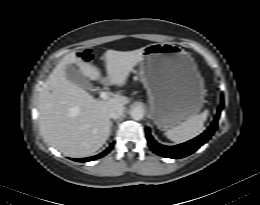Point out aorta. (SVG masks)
I'll return each mask as SVG.
<instances>
[{
	"mask_svg": "<svg viewBox=\"0 0 260 205\" xmlns=\"http://www.w3.org/2000/svg\"><path fill=\"white\" fill-rule=\"evenodd\" d=\"M130 116L132 119L139 121L144 117V110L140 107H135L130 111Z\"/></svg>",
	"mask_w": 260,
	"mask_h": 205,
	"instance_id": "aorta-1",
	"label": "aorta"
}]
</instances>
